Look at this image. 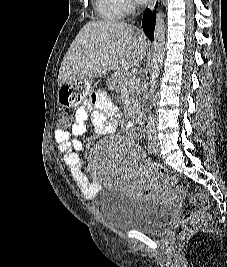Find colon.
<instances>
[{
    "mask_svg": "<svg viewBox=\"0 0 227 267\" xmlns=\"http://www.w3.org/2000/svg\"><path fill=\"white\" fill-rule=\"evenodd\" d=\"M83 102V99H82ZM75 114H60V124L59 130H70V125L73 124L72 120L75 119ZM160 174L166 181L174 184L175 190L181 194L186 195L185 186L177 183H173L172 175L166 171L161 170ZM191 201L197 205V208L193 211L186 213L179 221L176 229L177 238L180 240H185L193 236L194 234L204 231L209 226V216L207 213V204L204 197L199 194L192 195L190 197Z\"/></svg>",
    "mask_w": 227,
    "mask_h": 267,
    "instance_id": "5ec220e1",
    "label": "colon"
}]
</instances>
